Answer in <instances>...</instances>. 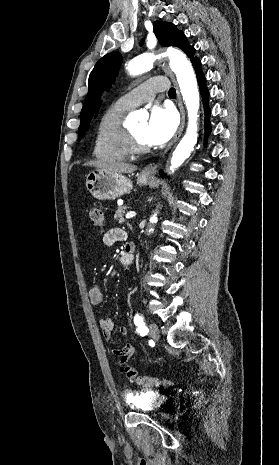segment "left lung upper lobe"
<instances>
[{
    "instance_id": "left-lung-upper-lobe-1",
    "label": "left lung upper lobe",
    "mask_w": 279,
    "mask_h": 465,
    "mask_svg": "<svg viewBox=\"0 0 279 465\" xmlns=\"http://www.w3.org/2000/svg\"><path fill=\"white\" fill-rule=\"evenodd\" d=\"M153 27L154 33L161 45L165 47H179L188 55L191 62L197 59V57H194L195 49L187 43L186 36L183 32L177 30L175 25L168 22L155 21ZM120 64V53H108L96 63L90 73L88 80L89 90L81 111L78 140L81 139L87 130L103 90H109L110 85L114 82Z\"/></svg>"
}]
</instances>
